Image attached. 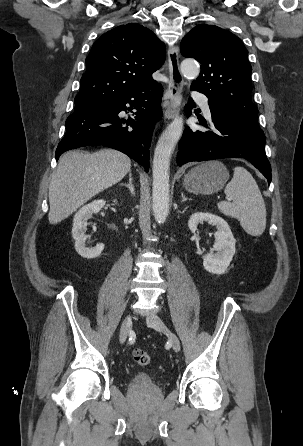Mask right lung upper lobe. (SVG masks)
I'll use <instances>...</instances> for the list:
<instances>
[{"label": "right lung upper lobe", "mask_w": 303, "mask_h": 446, "mask_svg": "<svg viewBox=\"0 0 303 446\" xmlns=\"http://www.w3.org/2000/svg\"><path fill=\"white\" fill-rule=\"evenodd\" d=\"M165 54L164 44L148 28L136 23L118 26L93 44L76 98L91 106L157 85L151 75L162 66Z\"/></svg>", "instance_id": "obj_1"}]
</instances>
